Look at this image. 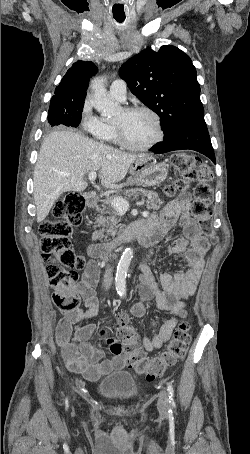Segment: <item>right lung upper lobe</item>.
Listing matches in <instances>:
<instances>
[{"label": "right lung upper lobe", "mask_w": 250, "mask_h": 454, "mask_svg": "<svg viewBox=\"0 0 250 454\" xmlns=\"http://www.w3.org/2000/svg\"><path fill=\"white\" fill-rule=\"evenodd\" d=\"M98 72V68L91 61L73 63L68 69L61 82L55 89L52 98H62L69 101L85 99L90 77Z\"/></svg>", "instance_id": "obj_1"}]
</instances>
